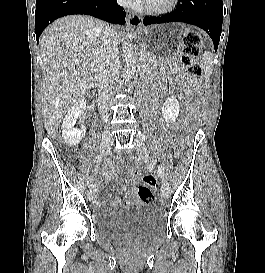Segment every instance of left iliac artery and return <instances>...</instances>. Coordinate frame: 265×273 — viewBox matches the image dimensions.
<instances>
[{
  "label": "left iliac artery",
  "mask_w": 265,
  "mask_h": 273,
  "mask_svg": "<svg viewBox=\"0 0 265 273\" xmlns=\"http://www.w3.org/2000/svg\"><path fill=\"white\" fill-rule=\"evenodd\" d=\"M138 138L142 141H145L147 139L146 135L143 132H138ZM159 175L161 178H164L165 170L163 166L158 167Z\"/></svg>",
  "instance_id": "44dca946"
}]
</instances>
